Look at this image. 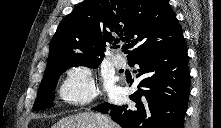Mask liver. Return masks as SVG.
Here are the masks:
<instances>
[{"label": "liver", "instance_id": "1", "mask_svg": "<svg viewBox=\"0 0 221 128\" xmlns=\"http://www.w3.org/2000/svg\"><path fill=\"white\" fill-rule=\"evenodd\" d=\"M109 128H120L119 125L108 119ZM97 114L92 112L78 113L59 120L52 128H100Z\"/></svg>", "mask_w": 221, "mask_h": 128}]
</instances>
